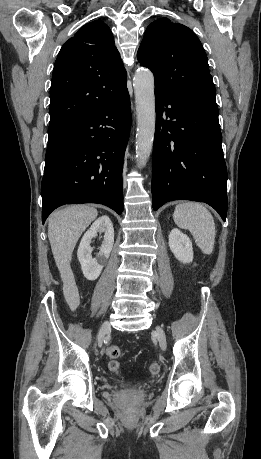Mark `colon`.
<instances>
[{"label": "colon", "mask_w": 261, "mask_h": 459, "mask_svg": "<svg viewBox=\"0 0 261 459\" xmlns=\"http://www.w3.org/2000/svg\"><path fill=\"white\" fill-rule=\"evenodd\" d=\"M106 355L110 359L108 362V368L111 372L118 374L120 372V363L117 361L122 355L121 349L117 345H110L106 349ZM161 367L157 362H153L149 365V372L152 375H157L160 373Z\"/></svg>", "instance_id": "colon-1"}]
</instances>
